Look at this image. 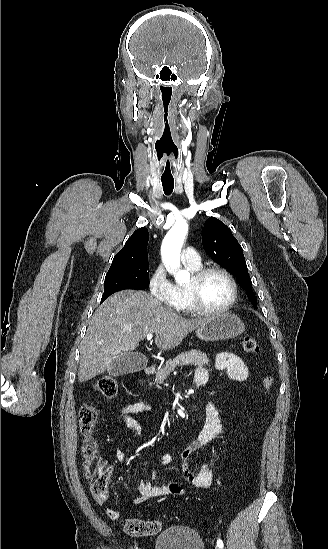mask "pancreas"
<instances>
[{
	"label": "pancreas",
	"instance_id": "cf45deb5",
	"mask_svg": "<svg viewBox=\"0 0 328 549\" xmlns=\"http://www.w3.org/2000/svg\"><path fill=\"white\" fill-rule=\"evenodd\" d=\"M177 365H196V367H206L209 365V359L205 353L201 351H189V353H180L174 359H168L165 363V367L158 369L156 373V383L162 385L167 375L177 367Z\"/></svg>",
	"mask_w": 328,
	"mask_h": 549
}]
</instances>
